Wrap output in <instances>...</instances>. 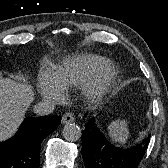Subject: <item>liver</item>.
I'll return each instance as SVG.
<instances>
[{"mask_svg": "<svg viewBox=\"0 0 168 168\" xmlns=\"http://www.w3.org/2000/svg\"><path fill=\"white\" fill-rule=\"evenodd\" d=\"M32 100L29 85L0 77V141L17 131Z\"/></svg>", "mask_w": 168, "mask_h": 168, "instance_id": "1", "label": "liver"}]
</instances>
